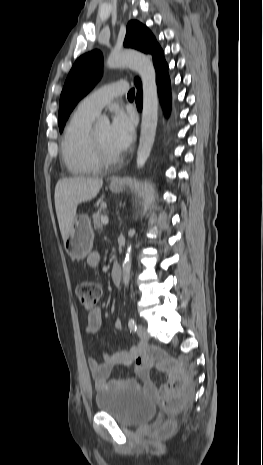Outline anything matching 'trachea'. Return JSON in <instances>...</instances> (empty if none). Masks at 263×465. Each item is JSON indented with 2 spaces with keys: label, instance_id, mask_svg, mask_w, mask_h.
Returning a JSON list of instances; mask_svg holds the SVG:
<instances>
[{
  "label": "trachea",
  "instance_id": "3493384b",
  "mask_svg": "<svg viewBox=\"0 0 263 465\" xmlns=\"http://www.w3.org/2000/svg\"><path fill=\"white\" fill-rule=\"evenodd\" d=\"M135 97V90L134 89H131L129 92H128V98H134Z\"/></svg>",
  "mask_w": 263,
  "mask_h": 465
}]
</instances>
